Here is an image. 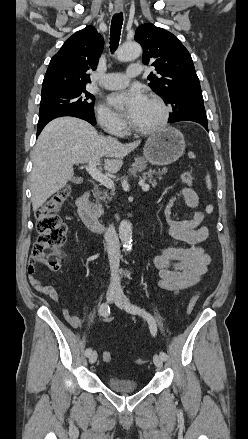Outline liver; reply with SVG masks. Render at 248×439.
<instances>
[{
	"instance_id": "1",
	"label": "liver",
	"mask_w": 248,
	"mask_h": 439,
	"mask_svg": "<svg viewBox=\"0 0 248 439\" xmlns=\"http://www.w3.org/2000/svg\"><path fill=\"white\" fill-rule=\"evenodd\" d=\"M136 141L122 144L112 137L98 135L88 122L74 117H60L46 125L34 147L30 176L33 211L63 188L73 178L74 164L94 161L116 173L123 157L139 146Z\"/></svg>"
}]
</instances>
